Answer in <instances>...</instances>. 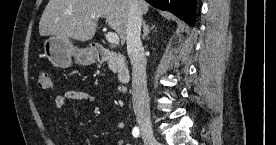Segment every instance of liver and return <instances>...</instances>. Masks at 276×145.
I'll return each instance as SVG.
<instances>
[{"label": "liver", "instance_id": "6515ba94", "mask_svg": "<svg viewBox=\"0 0 276 145\" xmlns=\"http://www.w3.org/2000/svg\"><path fill=\"white\" fill-rule=\"evenodd\" d=\"M137 2L141 15L146 14L148 3L144 0ZM128 13V0H49L39 22V34L89 41L97 27V20L91 16L105 17L108 25L119 35L121 44H124Z\"/></svg>", "mask_w": 276, "mask_h": 145}]
</instances>
